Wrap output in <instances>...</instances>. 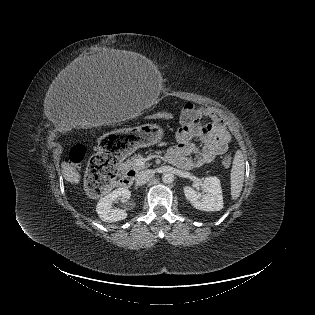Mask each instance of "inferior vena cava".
<instances>
[{
    "instance_id": "602c4592",
    "label": "inferior vena cava",
    "mask_w": 315,
    "mask_h": 315,
    "mask_svg": "<svg viewBox=\"0 0 315 315\" xmlns=\"http://www.w3.org/2000/svg\"><path fill=\"white\" fill-rule=\"evenodd\" d=\"M154 172L151 169H146L139 172L135 178L137 185H143L147 183L151 178H153Z\"/></svg>"
}]
</instances>
